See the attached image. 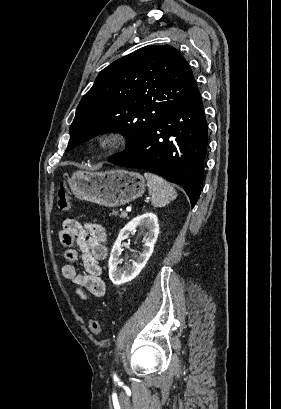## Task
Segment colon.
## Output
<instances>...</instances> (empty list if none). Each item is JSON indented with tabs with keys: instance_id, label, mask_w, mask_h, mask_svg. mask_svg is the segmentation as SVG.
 <instances>
[{
	"instance_id": "5ec220e1",
	"label": "colon",
	"mask_w": 281,
	"mask_h": 409,
	"mask_svg": "<svg viewBox=\"0 0 281 409\" xmlns=\"http://www.w3.org/2000/svg\"><path fill=\"white\" fill-rule=\"evenodd\" d=\"M58 208L62 212H68L71 209V200L62 187L58 188ZM102 329V322L100 319H93L90 323V330L94 334H99Z\"/></svg>"
}]
</instances>
